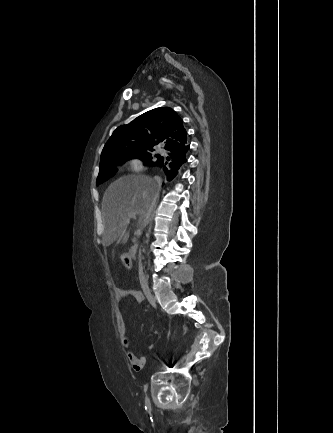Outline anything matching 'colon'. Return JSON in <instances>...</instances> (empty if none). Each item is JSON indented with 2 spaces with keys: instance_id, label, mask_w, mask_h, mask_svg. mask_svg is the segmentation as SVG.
<instances>
[{
  "instance_id": "obj_1",
  "label": "colon",
  "mask_w": 333,
  "mask_h": 433,
  "mask_svg": "<svg viewBox=\"0 0 333 433\" xmlns=\"http://www.w3.org/2000/svg\"><path fill=\"white\" fill-rule=\"evenodd\" d=\"M121 263H123V265H124V267L125 268H127V269H130L131 268V261H130V259L127 257V256H124L123 258H121Z\"/></svg>"
}]
</instances>
